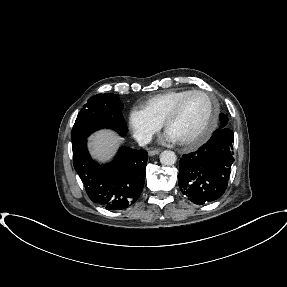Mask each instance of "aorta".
I'll list each match as a JSON object with an SVG mask.
<instances>
[{
	"instance_id": "obj_1",
	"label": "aorta",
	"mask_w": 287,
	"mask_h": 287,
	"mask_svg": "<svg viewBox=\"0 0 287 287\" xmlns=\"http://www.w3.org/2000/svg\"><path fill=\"white\" fill-rule=\"evenodd\" d=\"M176 160L177 157L173 151L165 150L160 154V162L165 166L174 165Z\"/></svg>"
}]
</instances>
